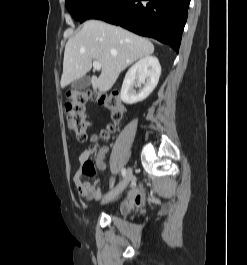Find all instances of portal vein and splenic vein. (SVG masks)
Returning <instances> with one entry per match:
<instances>
[{"mask_svg": "<svg viewBox=\"0 0 247 265\" xmlns=\"http://www.w3.org/2000/svg\"><path fill=\"white\" fill-rule=\"evenodd\" d=\"M93 68L96 70H101V64L98 61H93Z\"/></svg>", "mask_w": 247, "mask_h": 265, "instance_id": "1", "label": "portal vein and splenic vein"}]
</instances>
